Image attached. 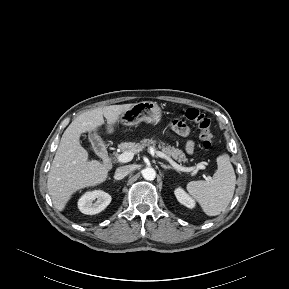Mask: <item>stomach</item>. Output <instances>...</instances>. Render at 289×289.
<instances>
[{
  "label": "stomach",
  "instance_id": "obj_1",
  "mask_svg": "<svg viewBox=\"0 0 289 289\" xmlns=\"http://www.w3.org/2000/svg\"><path fill=\"white\" fill-rule=\"evenodd\" d=\"M161 117L162 111L156 102L143 101L123 112L119 122L126 126H134L142 121L156 125L161 121Z\"/></svg>",
  "mask_w": 289,
  "mask_h": 289
}]
</instances>
